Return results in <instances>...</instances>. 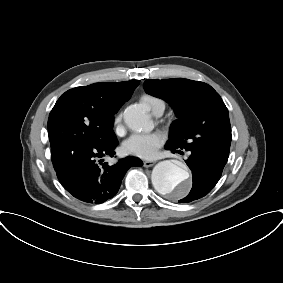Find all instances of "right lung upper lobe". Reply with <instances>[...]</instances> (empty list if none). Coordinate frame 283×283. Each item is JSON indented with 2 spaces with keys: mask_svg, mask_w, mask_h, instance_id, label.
Segmentation results:
<instances>
[{
  "mask_svg": "<svg viewBox=\"0 0 283 283\" xmlns=\"http://www.w3.org/2000/svg\"><path fill=\"white\" fill-rule=\"evenodd\" d=\"M139 85L138 80L95 83L74 88L82 99L104 116L114 115Z\"/></svg>",
  "mask_w": 283,
  "mask_h": 283,
  "instance_id": "cb5924a9",
  "label": "right lung upper lobe"
}]
</instances>
